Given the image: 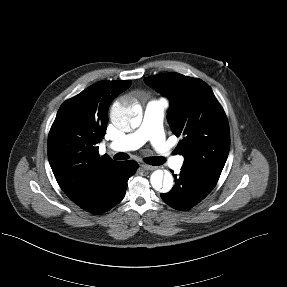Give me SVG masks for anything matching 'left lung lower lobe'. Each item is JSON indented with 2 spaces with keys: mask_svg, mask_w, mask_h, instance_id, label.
I'll list each match as a JSON object with an SVG mask.
<instances>
[{
  "mask_svg": "<svg viewBox=\"0 0 287 287\" xmlns=\"http://www.w3.org/2000/svg\"><path fill=\"white\" fill-rule=\"evenodd\" d=\"M173 177H175V185L168 193H162L161 198L177 210L192 208L214 188V185L205 181L189 167L182 166L180 174H173Z\"/></svg>",
  "mask_w": 287,
  "mask_h": 287,
  "instance_id": "1",
  "label": "left lung lower lobe"
}]
</instances>
